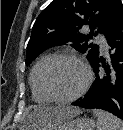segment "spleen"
<instances>
[{"label":"spleen","instance_id":"obj_1","mask_svg":"<svg viewBox=\"0 0 123 130\" xmlns=\"http://www.w3.org/2000/svg\"><path fill=\"white\" fill-rule=\"evenodd\" d=\"M93 113L97 117V130H123V122L113 114L99 109Z\"/></svg>","mask_w":123,"mask_h":130}]
</instances>
